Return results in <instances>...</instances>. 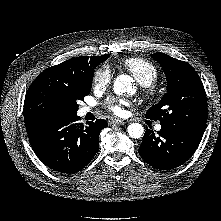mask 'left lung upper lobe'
<instances>
[{
    "label": "left lung upper lobe",
    "mask_w": 221,
    "mask_h": 221,
    "mask_svg": "<svg viewBox=\"0 0 221 221\" xmlns=\"http://www.w3.org/2000/svg\"><path fill=\"white\" fill-rule=\"evenodd\" d=\"M151 57L160 63L167 78V93L149 108L146 118L159 120L162 127L203 134L207 122V98L194 68L164 53Z\"/></svg>",
    "instance_id": "5c2ea615"
}]
</instances>
